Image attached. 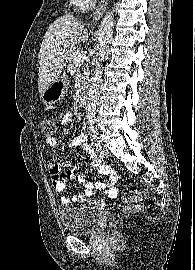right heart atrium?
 <instances>
[{"label":"right heart atrium","instance_id":"1","mask_svg":"<svg viewBox=\"0 0 195 270\" xmlns=\"http://www.w3.org/2000/svg\"><path fill=\"white\" fill-rule=\"evenodd\" d=\"M87 6H88V3L91 1V0H82Z\"/></svg>","mask_w":195,"mask_h":270}]
</instances>
